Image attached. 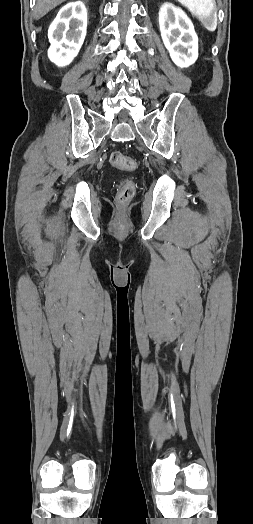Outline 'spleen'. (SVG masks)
<instances>
[{
    "label": "spleen",
    "mask_w": 253,
    "mask_h": 524,
    "mask_svg": "<svg viewBox=\"0 0 253 524\" xmlns=\"http://www.w3.org/2000/svg\"><path fill=\"white\" fill-rule=\"evenodd\" d=\"M196 16L208 31H215L217 27V17L214 13V0H177Z\"/></svg>",
    "instance_id": "obj_1"
}]
</instances>
